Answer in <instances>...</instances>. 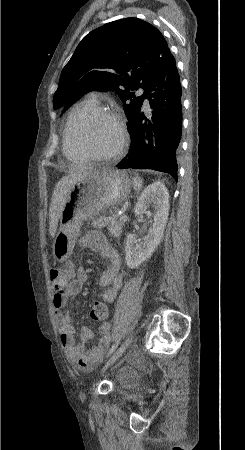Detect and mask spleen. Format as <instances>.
Wrapping results in <instances>:
<instances>
[{
	"label": "spleen",
	"instance_id": "3e777b00",
	"mask_svg": "<svg viewBox=\"0 0 245 450\" xmlns=\"http://www.w3.org/2000/svg\"><path fill=\"white\" fill-rule=\"evenodd\" d=\"M132 184H133L134 190L140 191L142 188V179L137 176V177L133 178Z\"/></svg>",
	"mask_w": 245,
	"mask_h": 450
}]
</instances>
